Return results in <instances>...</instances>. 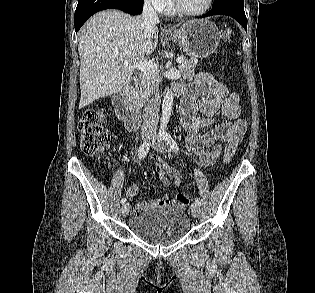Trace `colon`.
Segmentation results:
<instances>
[{
    "label": "colon",
    "mask_w": 315,
    "mask_h": 293,
    "mask_svg": "<svg viewBox=\"0 0 315 293\" xmlns=\"http://www.w3.org/2000/svg\"><path fill=\"white\" fill-rule=\"evenodd\" d=\"M232 36V29H225L224 39L230 41ZM104 117L105 112L103 109H88L82 115L79 123L80 145L86 155L98 157L109 148L110 135L102 127ZM231 157V151H225L224 162H229ZM176 203L180 206H187L190 203V199L187 195L178 193L176 195Z\"/></svg>",
    "instance_id": "obj_1"
}]
</instances>
